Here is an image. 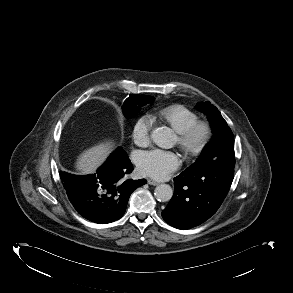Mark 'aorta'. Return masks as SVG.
I'll use <instances>...</instances> for the list:
<instances>
[{
	"label": "aorta",
	"mask_w": 293,
	"mask_h": 293,
	"mask_svg": "<svg viewBox=\"0 0 293 293\" xmlns=\"http://www.w3.org/2000/svg\"><path fill=\"white\" fill-rule=\"evenodd\" d=\"M151 139L161 148L169 149L174 145V135L168 127H158L151 132ZM155 198L160 202H167L173 196V190L168 184H160L154 190Z\"/></svg>",
	"instance_id": "obj_1"
}]
</instances>
